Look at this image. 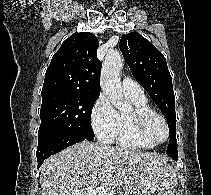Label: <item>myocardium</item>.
<instances>
[{
	"mask_svg": "<svg viewBox=\"0 0 211 195\" xmlns=\"http://www.w3.org/2000/svg\"><path fill=\"white\" fill-rule=\"evenodd\" d=\"M155 118L162 121V123L164 124L165 130H166V136H165L164 140L161 142L152 141L147 133V128H148L149 123ZM133 122H134V126H135V131H136V134L138 135V137L142 141H144L145 143H147L148 145H150L152 147L159 146V145L165 143L169 138L170 130H169V125H168L167 120L165 119V117L163 115H161L155 111L134 112L133 113Z\"/></svg>",
	"mask_w": 211,
	"mask_h": 195,
	"instance_id": "f54148a6",
	"label": "myocardium"
}]
</instances>
